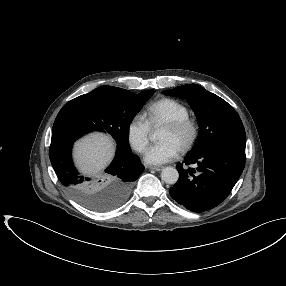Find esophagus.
I'll list each match as a JSON object with an SVG mask.
<instances>
[{"label":"esophagus","instance_id":"34e87169","mask_svg":"<svg viewBox=\"0 0 286 286\" xmlns=\"http://www.w3.org/2000/svg\"><path fill=\"white\" fill-rule=\"evenodd\" d=\"M148 168L151 170H155V171H161L164 167L163 166H149Z\"/></svg>","mask_w":286,"mask_h":286}]
</instances>
